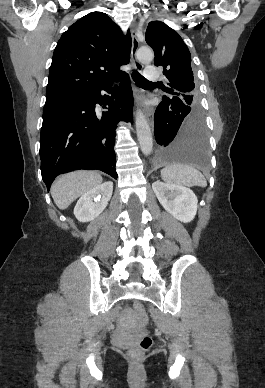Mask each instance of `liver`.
<instances>
[{"instance_id":"liver-1","label":"liver","mask_w":265,"mask_h":388,"mask_svg":"<svg viewBox=\"0 0 265 388\" xmlns=\"http://www.w3.org/2000/svg\"><path fill=\"white\" fill-rule=\"evenodd\" d=\"M102 182V176L98 172H70L53 182L51 196L59 210H67L74 200L92 188L101 186Z\"/></svg>"}]
</instances>
